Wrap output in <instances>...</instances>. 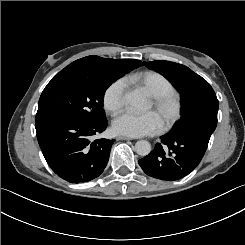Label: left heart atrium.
Wrapping results in <instances>:
<instances>
[{
    "instance_id": "1",
    "label": "left heart atrium",
    "mask_w": 245,
    "mask_h": 245,
    "mask_svg": "<svg viewBox=\"0 0 245 245\" xmlns=\"http://www.w3.org/2000/svg\"><path fill=\"white\" fill-rule=\"evenodd\" d=\"M113 128L117 134L139 137L160 131L161 123L158 116L152 112L144 114L125 112L114 120Z\"/></svg>"
}]
</instances>
